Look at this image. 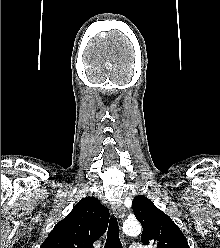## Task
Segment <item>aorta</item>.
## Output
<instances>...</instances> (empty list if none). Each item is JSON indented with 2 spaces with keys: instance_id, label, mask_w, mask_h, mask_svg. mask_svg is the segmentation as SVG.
<instances>
[{
  "instance_id": "obj_1",
  "label": "aorta",
  "mask_w": 220,
  "mask_h": 248,
  "mask_svg": "<svg viewBox=\"0 0 220 248\" xmlns=\"http://www.w3.org/2000/svg\"><path fill=\"white\" fill-rule=\"evenodd\" d=\"M123 232L129 236H137L141 232V225L136 219H127L123 224Z\"/></svg>"
}]
</instances>
